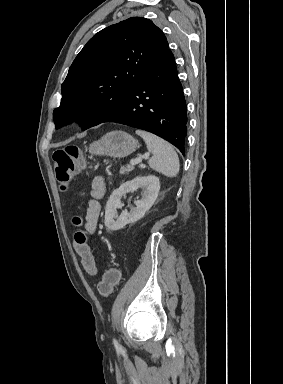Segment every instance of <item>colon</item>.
<instances>
[{"mask_svg": "<svg viewBox=\"0 0 283 384\" xmlns=\"http://www.w3.org/2000/svg\"><path fill=\"white\" fill-rule=\"evenodd\" d=\"M56 179L62 188H67L74 176L78 173L81 166V151L78 147L70 145L65 148L57 149L53 153ZM73 223L80 226L82 219L79 216L73 218ZM74 239L79 244L87 241L86 234L79 230L75 233ZM120 272L117 268L106 270L97 285V290L102 297H109L115 286L120 281Z\"/></svg>", "mask_w": 283, "mask_h": 384, "instance_id": "obj_1", "label": "colon"}]
</instances>
